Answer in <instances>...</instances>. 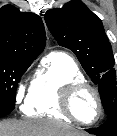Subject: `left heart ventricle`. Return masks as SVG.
<instances>
[{"label":"left heart ventricle","instance_id":"obj_1","mask_svg":"<svg viewBox=\"0 0 117 136\" xmlns=\"http://www.w3.org/2000/svg\"><path fill=\"white\" fill-rule=\"evenodd\" d=\"M74 110L77 116L84 121H92L96 118L98 107L96 99L91 92H83L78 95L75 103Z\"/></svg>","mask_w":117,"mask_h":136}]
</instances>
